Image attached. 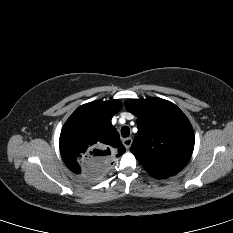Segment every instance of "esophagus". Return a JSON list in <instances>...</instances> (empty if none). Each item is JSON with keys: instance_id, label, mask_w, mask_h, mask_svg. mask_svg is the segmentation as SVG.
<instances>
[{"instance_id": "1", "label": "esophagus", "mask_w": 233, "mask_h": 233, "mask_svg": "<svg viewBox=\"0 0 233 233\" xmlns=\"http://www.w3.org/2000/svg\"><path fill=\"white\" fill-rule=\"evenodd\" d=\"M132 142H133L132 138L128 137L123 140V145L125 146L126 149H129Z\"/></svg>"}]
</instances>
